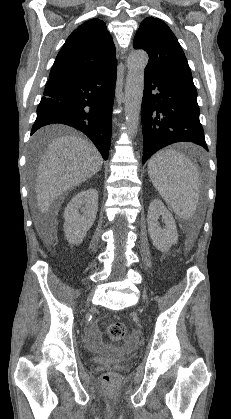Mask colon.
Instances as JSON below:
<instances>
[{"mask_svg": "<svg viewBox=\"0 0 231 419\" xmlns=\"http://www.w3.org/2000/svg\"><path fill=\"white\" fill-rule=\"evenodd\" d=\"M127 333L126 326L122 322H112L107 328L108 337L114 341L118 342L125 338ZM102 382L107 388L114 387L116 383V376L113 372H106L102 376Z\"/></svg>", "mask_w": 231, "mask_h": 419, "instance_id": "obj_1", "label": "colon"}]
</instances>
